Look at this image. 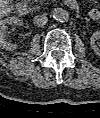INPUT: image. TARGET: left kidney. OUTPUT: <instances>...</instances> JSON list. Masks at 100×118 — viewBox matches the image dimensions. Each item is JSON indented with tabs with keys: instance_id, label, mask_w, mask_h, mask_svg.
I'll return each mask as SVG.
<instances>
[{
	"instance_id": "1",
	"label": "left kidney",
	"mask_w": 100,
	"mask_h": 118,
	"mask_svg": "<svg viewBox=\"0 0 100 118\" xmlns=\"http://www.w3.org/2000/svg\"><path fill=\"white\" fill-rule=\"evenodd\" d=\"M99 38V34L98 32L97 33H94L93 36L91 37V47L94 51H98L99 48H98V43L96 42V40Z\"/></svg>"
}]
</instances>
